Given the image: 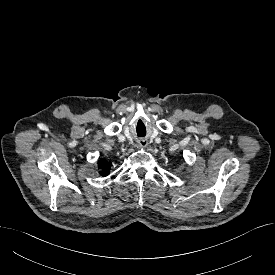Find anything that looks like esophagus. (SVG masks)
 Wrapping results in <instances>:
<instances>
[{
	"label": "esophagus",
	"instance_id": "1",
	"mask_svg": "<svg viewBox=\"0 0 275 275\" xmlns=\"http://www.w3.org/2000/svg\"><path fill=\"white\" fill-rule=\"evenodd\" d=\"M139 145H140L141 147H146V146H147V142H145V141L140 142Z\"/></svg>",
	"mask_w": 275,
	"mask_h": 275
}]
</instances>
